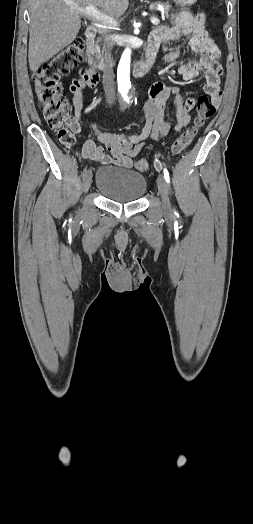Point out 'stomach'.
<instances>
[{
  "instance_id": "stomach-1",
  "label": "stomach",
  "mask_w": 253,
  "mask_h": 524,
  "mask_svg": "<svg viewBox=\"0 0 253 524\" xmlns=\"http://www.w3.org/2000/svg\"><path fill=\"white\" fill-rule=\"evenodd\" d=\"M176 4L181 6H190L193 5L197 0H173Z\"/></svg>"
}]
</instances>
